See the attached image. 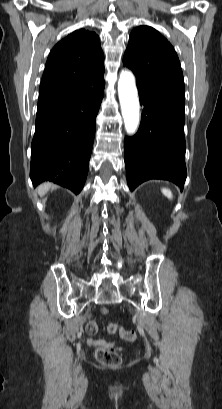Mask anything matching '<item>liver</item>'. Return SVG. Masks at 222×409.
<instances>
[{"instance_id":"liver-1","label":"liver","mask_w":222,"mask_h":409,"mask_svg":"<svg viewBox=\"0 0 222 409\" xmlns=\"http://www.w3.org/2000/svg\"><path fill=\"white\" fill-rule=\"evenodd\" d=\"M50 187H51V184H48V183L43 184V185H40V186L38 187V193H39V195H40V196H43L44 194H46L47 191L50 189Z\"/></svg>"}]
</instances>
